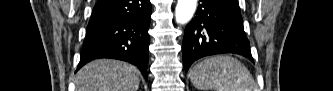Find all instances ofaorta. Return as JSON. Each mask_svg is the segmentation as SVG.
<instances>
[{
	"label": "aorta",
	"mask_w": 333,
	"mask_h": 91,
	"mask_svg": "<svg viewBox=\"0 0 333 91\" xmlns=\"http://www.w3.org/2000/svg\"><path fill=\"white\" fill-rule=\"evenodd\" d=\"M197 0H178L175 9L176 22L185 24L189 22L196 10Z\"/></svg>",
	"instance_id": "762f6f07"
}]
</instances>
